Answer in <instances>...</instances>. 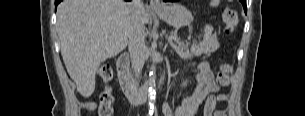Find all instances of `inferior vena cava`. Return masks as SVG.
<instances>
[{"instance_id": "602c4592", "label": "inferior vena cava", "mask_w": 305, "mask_h": 116, "mask_svg": "<svg viewBox=\"0 0 305 116\" xmlns=\"http://www.w3.org/2000/svg\"><path fill=\"white\" fill-rule=\"evenodd\" d=\"M131 5L134 10V17L129 29L128 50L135 76L139 78L142 70L144 44L143 24L140 20L139 13L144 9V4L141 0H134Z\"/></svg>"}]
</instances>
